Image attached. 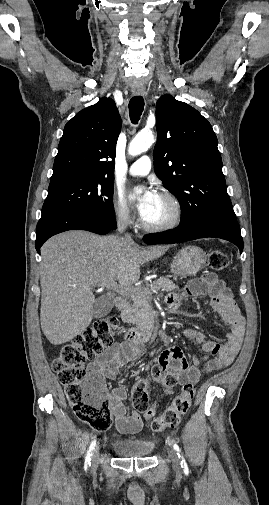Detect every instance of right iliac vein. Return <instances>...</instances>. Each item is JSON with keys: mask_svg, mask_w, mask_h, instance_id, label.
I'll list each match as a JSON object with an SVG mask.
<instances>
[{"mask_svg": "<svg viewBox=\"0 0 269 505\" xmlns=\"http://www.w3.org/2000/svg\"><path fill=\"white\" fill-rule=\"evenodd\" d=\"M98 462H99V451L98 449H95L92 453V461H91L92 470H95L97 468Z\"/></svg>", "mask_w": 269, "mask_h": 505, "instance_id": "1", "label": "right iliac vein"}]
</instances>
